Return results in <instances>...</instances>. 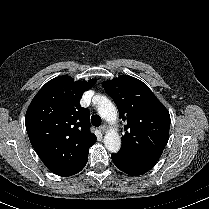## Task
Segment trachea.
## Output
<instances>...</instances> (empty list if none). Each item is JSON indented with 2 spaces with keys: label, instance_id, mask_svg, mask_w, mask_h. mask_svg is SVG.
Masks as SVG:
<instances>
[{
  "label": "trachea",
  "instance_id": "trachea-1",
  "mask_svg": "<svg viewBox=\"0 0 209 209\" xmlns=\"http://www.w3.org/2000/svg\"><path fill=\"white\" fill-rule=\"evenodd\" d=\"M91 123L95 126V127H99L102 123L101 118L98 115H92L91 116Z\"/></svg>",
  "mask_w": 209,
  "mask_h": 209
}]
</instances>
